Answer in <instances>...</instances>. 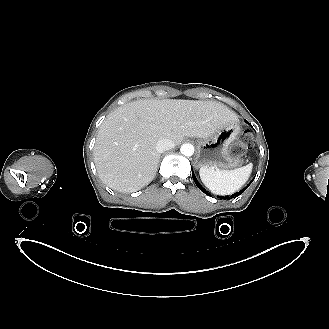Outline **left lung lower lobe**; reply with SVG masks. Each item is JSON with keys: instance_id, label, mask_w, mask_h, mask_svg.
Wrapping results in <instances>:
<instances>
[{"instance_id": "1", "label": "left lung lower lobe", "mask_w": 329, "mask_h": 329, "mask_svg": "<svg viewBox=\"0 0 329 329\" xmlns=\"http://www.w3.org/2000/svg\"><path fill=\"white\" fill-rule=\"evenodd\" d=\"M192 177H193V180H194V182H195V184L197 185V187L203 192V193H205V194H207L208 196H210V193H208L200 184H199V182L197 181V179L195 178V176H194V173H193V171H192ZM253 181V180H252ZM251 181V182H252ZM250 182V183H251ZM250 185V184H249ZM248 185V186H249ZM248 186H246L245 188H243L242 190H240L239 192H237V193H235V194H233V195H231V196H223V197H219L220 199H225V200H229V199H232V198H236L237 196H239V195H241L247 188H248Z\"/></svg>"}]
</instances>
